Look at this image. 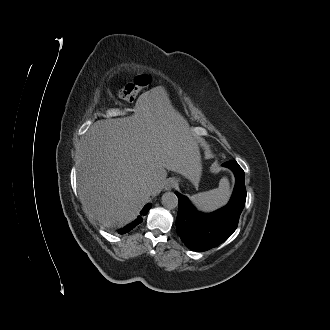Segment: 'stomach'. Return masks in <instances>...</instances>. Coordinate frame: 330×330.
Masks as SVG:
<instances>
[{
    "instance_id": "0dacf381",
    "label": "stomach",
    "mask_w": 330,
    "mask_h": 330,
    "mask_svg": "<svg viewBox=\"0 0 330 330\" xmlns=\"http://www.w3.org/2000/svg\"><path fill=\"white\" fill-rule=\"evenodd\" d=\"M201 172H202L201 159H200V155L197 154L193 156L190 164L189 176H188L189 180L195 185L198 184L201 177Z\"/></svg>"
}]
</instances>
